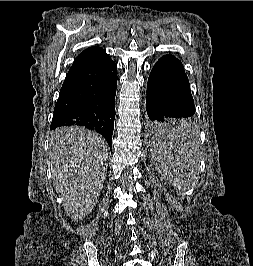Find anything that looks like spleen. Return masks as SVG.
Listing matches in <instances>:
<instances>
[{"label": "spleen", "instance_id": "3e777b00", "mask_svg": "<svg viewBox=\"0 0 253 266\" xmlns=\"http://www.w3.org/2000/svg\"><path fill=\"white\" fill-rule=\"evenodd\" d=\"M151 142L152 158L160 166L169 182L180 192H184L196 180V166L193 163V144L190 123H155Z\"/></svg>", "mask_w": 253, "mask_h": 266}]
</instances>
